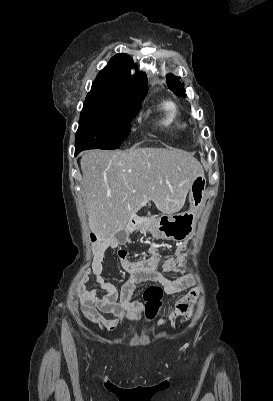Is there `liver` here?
Instances as JSON below:
<instances>
[{"label": "liver", "mask_w": 273, "mask_h": 401, "mask_svg": "<svg viewBox=\"0 0 273 401\" xmlns=\"http://www.w3.org/2000/svg\"><path fill=\"white\" fill-rule=\"evenodd\" d=\"M81 168L88 225L99 243L113 241L148 201L162 215L181 211L196 174L204 172L181 148L86 150Z\"/></svg>", "instance_id": "6515ba94"}]
</instances>
